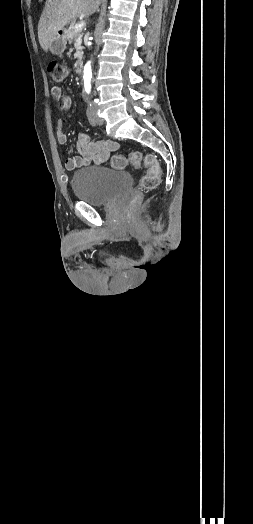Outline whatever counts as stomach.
Here are the masks:
<instances>
[{
    "label": "stomach",
    "instance_id": "obj_1",
    "mask_svg": "<svg viewBox=\"0 0 253 524\" xmlns=\"http://www.w3.org/2000/svg\"><path fill=\"white\" fill-rule=\"evenodd\" d=\"M66 32L64 29L59 30L52 39L49 50L54 55H61L66 49Z\"/></svg>",
    "mask_w": 253,
    "mask_h": 524
}]
</instances>
